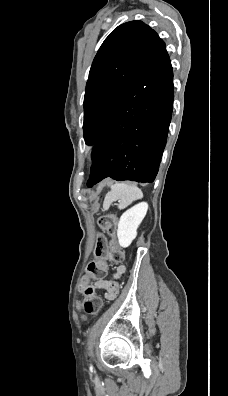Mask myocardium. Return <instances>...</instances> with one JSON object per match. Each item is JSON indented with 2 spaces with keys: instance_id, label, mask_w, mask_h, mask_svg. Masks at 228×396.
I'll return each mask as SVG.
<instances>
[{
  "instance_id": "f54148a6",
  "label": "myocardium",
  "mask_w": 228,
  "mask_h": 396,
  "mask_svg": "<svg viewBox=\"0 0 228 396\" xmlns=\"http://www.w3.org/2000/svg\"><path fill=\"white\" fill-rule=\"evenodd\" d=\"M103 156V148L100 145H96L92 152H91V157L93 159H99Z\"/></svg>"
}]
</instances>
